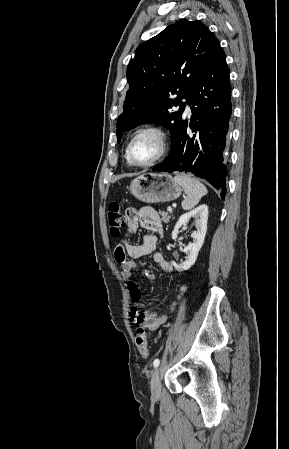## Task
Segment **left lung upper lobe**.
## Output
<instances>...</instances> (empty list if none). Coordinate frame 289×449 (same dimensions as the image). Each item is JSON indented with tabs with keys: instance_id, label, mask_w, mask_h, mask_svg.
I'll return each instance as SVG.
<instances>
[{
	"instance_id": "obj_1",
	"label": "left lung upper lobe",
	"mask_w": 289,
	"mask_h": 449,
	"mask_svg": "<svg viewBox=\"0 0 289 449\" xmlns=\"http://www.w3.org/2000/svg\"><path fill=\"white\" fill-rule=\"evenodd\" d=\"M219 47L204 24L186 19L141 44L127 68L129 90L116 125L118 142L122 131L147 122L163 125L173 136L183 121L182 99H188L200 71ZM176 106L179 110L172 111Z\"/></svg>"
}]
</instances>
